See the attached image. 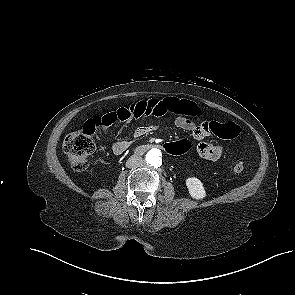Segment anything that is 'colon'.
Here are the masks:
<instances>
[{"label": "colon", "instance_id": "1", "mask_svg": "<svg viewBox=\"0 0 295 295\" xmlns=\"http://www.w3.org/2000/svg\"><path fill=\"white\" fill-rule=\"evenodd\" d=\"M178 112L184 116L198 117L201 114L200 108L188 100H180L177 106ZM100 117L87 120L82 129L69 133L64 142L63 149L70 164L78 171H85L88 168V157L95 150L94 134L101 126ZM211 132L222 139H234L240 134V127L233 122H211ZM161 150L169 155L183 154L190 148V143L184 139L163 141ZM242 162L233 166V173L239 174L243 171Z\"/></svg>", "mask_w": 295, "mask_h": 295}]
</instances>
